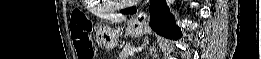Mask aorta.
Instances as JSON below:
<instances>
[{"mask_svg":"<svg viewBox=\"0 0 261 59\" xmlns=\"http://www.w3.org/2000/svg\"><path fill=\"white\" fill-rule=\"evenodd\" d=\"M175 2H176L175 0H167L166 1L168 7H170V8L175 4Z\"/></svg>","mask_w":261,"mask_h":59,"instance_id":"obj_1","label":"aorta"}]
</instances>
